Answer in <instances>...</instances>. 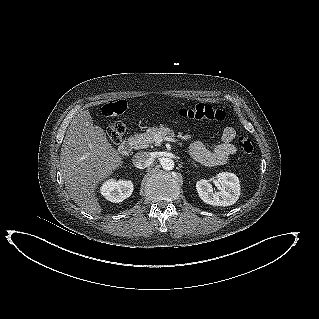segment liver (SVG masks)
Segmentation results:
<instances>
[{
    "instance_id": "1",
    "label": "liver",
    "mask_w": 319,
    "mask_h": 319,
    "mask_svg": "<svg viewBox=\"0 0 319 319\" xmlns=\"http://www.w3.org/2000/svg\"><path fill=\"white\" fill-rule=\"evenodd\" d=\"M121 162L104 130L93 126L89 110L78 112L70 122L60 153L61 174L72 200L87 213L100 214L97 185Z\"/></svg>"
}]
</instances>
